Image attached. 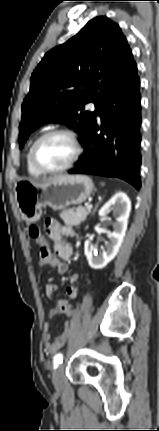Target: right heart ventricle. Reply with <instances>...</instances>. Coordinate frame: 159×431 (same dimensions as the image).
Wrapping results in <instances>:
<instances>
[{"label": "right heart ventricle", "instance_id": "1", "mask_svg": "<svg viewBox=\"0 0 159 431\" xmlns=\"http://www.w3.org/2000/svg\"><path fill=\"white\" fill-rule=\"evenodd\" d=\"M35 140H33V142H34ZM33 142L30 144V146L28 147V150H27V153H26V168H27V171H28V173L31 175V176H34V177H39V176H41L43 173H41L39 170H37L35 167H34V165L32 164V162H31V159H30V150H31V146H32V144H33Z\"/></svg>", "mask_w": 159, "mask_h": 431}]
</instances>
